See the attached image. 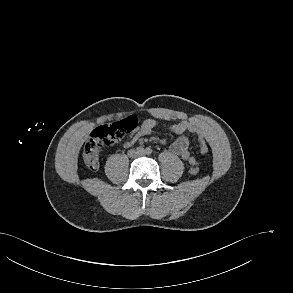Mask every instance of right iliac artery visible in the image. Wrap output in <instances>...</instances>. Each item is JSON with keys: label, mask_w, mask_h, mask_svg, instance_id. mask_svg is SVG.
Here are the masks:
<instances>
[{"label": "right iliac artery", "mask_w": 293, "mask_h": 293, "mask_svg": "<svg viewBox=\"0 0 293 293\" xmlns=\"http://www.w3.org/2000/svg\"><path fill=\"white\" fill-rule=\"evenodd\" d=\"M137 151H138V152H143V151H144V147H143V146H139V147H137Z\"/></svg>", "instance_id": "right-iliac-artery-1"}]
</instances>
